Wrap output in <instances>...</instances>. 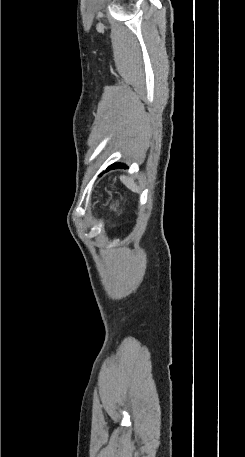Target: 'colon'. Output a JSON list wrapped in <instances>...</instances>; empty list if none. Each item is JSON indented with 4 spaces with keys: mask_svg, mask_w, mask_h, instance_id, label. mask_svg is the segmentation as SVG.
<instances>
[{
    "mask_svg": "<svg viewBox=\"0 0 245 457\" xmlns=\"http://www.w3.org/2000/svg\"><path fill=\"white\" fill-rule=\"evenodd\" d=\"M112 209H113V211H115V212H117V213H120V212H121L120 204H119L118 202L115 203V204H113Z\"/></svg>",
    "mask_w": 245,
    "mask_h": 457,
    "instance_id": "obj_1",
    "label": "colon"
}]
</instances>
